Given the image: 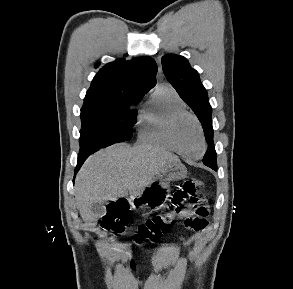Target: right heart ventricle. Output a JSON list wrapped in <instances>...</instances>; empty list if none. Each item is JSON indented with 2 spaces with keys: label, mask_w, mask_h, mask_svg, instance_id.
<instances>
[{
  "label": "right heart ventricle",
  "mask_w": 293,
  "mask_h": 289,
  "mask_svg": "<svg viewBox=\"0 0 293 289\" xmlns=\"http://www.w3.org/2000/svg\"><path fill=\"white\" fill-rule=\"evenodd\" d=\"M180 110H186V105L178 93L167 84L157 86L139 110V140L164 150L174 151L168 139V124L172 115Z\"/></svg>",
  "instance_id": "e07e8e85"
}]
</instances>
